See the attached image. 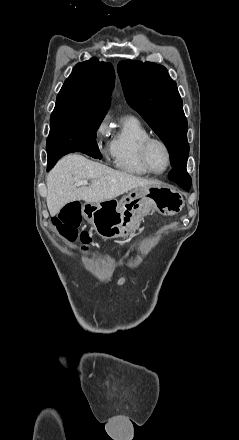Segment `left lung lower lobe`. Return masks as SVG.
Listing matches in <instances>:
<instances>
[{
    "mask_svg": "<svg viewBox=\"0 0 239 440\" xmlns=\"http://www.w3.org/2000/svg\"><path fill=\"white\" fill-rule=\"evenodd\" d=\"M169 179L177 182L183 189L189 191L191 186V177L187 173L186 165L173 168L169 175Z\"/></svg>",
    "mask_w": 239,
    "mask_h": 440,
    "instance_id": "obj_1",
    "label": "left lung lower lobe"
}]
</instances>
